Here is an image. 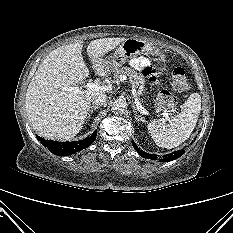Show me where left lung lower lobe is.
<instances>
[{
	"mask_svg": "<svg viewBox=\"0 0 233 233\" xmlns=\"http://www.w3.org/2000/svg\"><path fill=\"white\" fill-rule=\"evenodd\" d=\"M132 145L135 148V150L139 153V155L142 156L143 158H148V159H153V160L157 159V155L148 154V153L144 152L143 150H141L140 148L137 147L135 142H132ZM184 153H185V150L174 151L173 153L165 155V157L161 160V162L175 160V159L179 158L180 156H182Z\"/></svg>",
	"mask_w": 233,
	"mask_h": 233,
	"instance_id": "obj_1",
	"label": "left lung lower lobe"
}]
</instances>
